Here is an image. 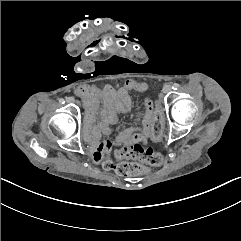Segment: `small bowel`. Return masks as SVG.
Masks as SVG:
<instances>
[{
	"mask_svg": "<svg viewBox=\"0 0 241 241\" xmlns=\"http://www.w3.org/2000/svg\"><path fill=\"white\" fill-rule=\"evenodd\" d=\"M138 83L127 81L124 86L115 89L112 86L99 88L96 86H81L75 93L80 97L87 111V127L84 134L88 137L89 143L94 148L93 159L99 162L106 155H109L112 148H129L134 144H146L154 121L155 105L150 98L144 101L145 113L138 128H127L119 133L112 140L100 141L101 134L110 135L112 126L118 121L119 115L129 110L131 98L129 90H137ZM99 103L102 104L99 121L96 115Z\"/></svg>",
	"mask_w": 241,
	"mask_h": 241,
	"instance_id": "1",
	"label": "small bowel"
}]
</instances>
